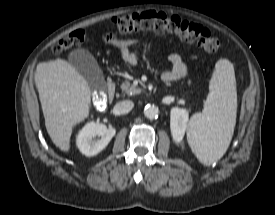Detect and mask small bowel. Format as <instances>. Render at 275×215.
Segmentation results:
<instances>
[{
    "label": "small bowel",
    "mask_w": 275,
    "mask_h": 215,
    "mask_svg": "<svg viewBox=\"0 0 275 215\" xmlns=\"http://www.w3.org/2000/svg\"><path fill=\"white\" fill-rule=\"evenodd\" d=\"M105 40L115 48L123 61L128 64L137 63V55L132 51V46L134 44L133 40L121 39L112 34L107 35ZM169 61L172 67L162 74L163 81L170 82L184 78L187 74V68L181 56L176 53L171 54L169 56Z\"/></svg>",
    "instance_id": "c3829d8e"
}]
</instances>
